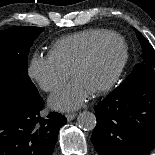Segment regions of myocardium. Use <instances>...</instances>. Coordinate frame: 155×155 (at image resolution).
Returning <instances> with one entry per match:
<instances>
[{"label":"myocardium","mask_w":155,"mask_h":155,"mask_svg":"<svg viewBox=\"0 0 155 155\" xmlns=\"http://www.w3.org/2000/svg\"><path fill=\"white\" fill-rule=\"evenodd\" d=\"M111 40H119L120 42H122L124 48V56L112 79L106 85L92 93V95L94 96H99L108 93L120 80L129 60V46L125 38L115 32L101 38L92 46V48L85 54V56L75 65V67L72 70V77L75 79L77 74L93 61L99 50Z\"/></svg>","instance_id":"f54148a6"}]
</instances>
